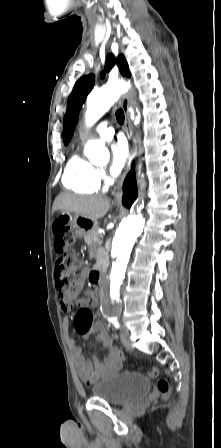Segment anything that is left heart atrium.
<instances>
[{"mask_svg": "<svg viewBox=\"0 0 221 448\" xmlns=\"http://www.w3.org/2000/svg\"><path fill=\"white\" fill-rule=\"evenodd\" d=\"M128 156L127 147L122 142L111 145V163L110 172L112 175H118L124 168Z\"/></svg>", "mask_w": 221, "mask_h": 448, "instance_id": "39dd6f15", "label": "left heart atrium"}]
</instances>
